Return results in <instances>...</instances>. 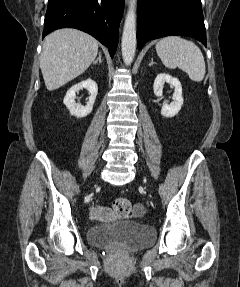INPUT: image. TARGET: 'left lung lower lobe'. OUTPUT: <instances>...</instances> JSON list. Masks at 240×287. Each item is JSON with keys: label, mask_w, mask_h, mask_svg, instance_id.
Returning a JSON list of instances; mask_svg holds the SVG:
<instances>
[{"label": "left lung lower lobe", "mask_w": 240, "mask_h": 287, "mask_svg": "<svg viewBox=\"0 0 240 287\" xmlns=\"http://www.w3.org/2000/svg\"><path fill=\"white\" fill-rule=\"evenodd\" d=\"M168 35L190 36L207 46L201 0H138V48Z\"/></svg>", "instance_id": "0a47b994"}]
</instances>
